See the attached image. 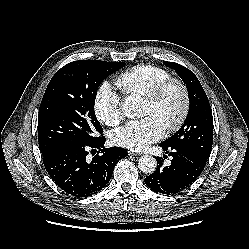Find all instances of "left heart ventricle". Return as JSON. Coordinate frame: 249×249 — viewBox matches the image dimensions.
I'll return each mask as SVG.
<instances>
[{
    "label": "left heart ventricle",
    "mask_w": 249,
    "mask_h": 249,
    "mask_svg": "<svg viewBox=\"0 0 249 249\" xmlns=\"http://www.w3.org/2000/svg\"><path fill=\"white\" fill-rule=\"evenodd\" d=\"M181 103V97L176 87H170L160 102L153 105L144 100L142 115H154L164 127L171 123L177 116Z\"/></svg>",
    "instance_id": "obj_1"
}]
</instances>
